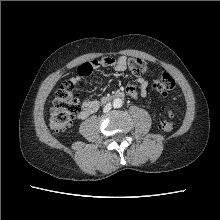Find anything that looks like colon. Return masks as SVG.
I'll list each match as a JSON object with an SVG mask.
<instances>
[{"instance_id":"5ec220e1","label":"colon","mask_w":220,"mask_h":220,"mask_svg":"<svg viewBox=\"0 0 220 220\" xmlns=\"http://www.w3.org/2000/svg\"><path fill=\"white\" fill-rule=\"evenodd\" d=\"M127 64L130 71L136 76L146 74L149 69L148 63L140 58H129ZM90 72V68L86 69L87 74ZM154 86L158 92L167 93L175 88L176 82L171 75L164 73L154 82ZM78 104L79 101L75 93V86L71 81H65L56 91L51 109L50 124L55 132H64L69 128L78 111ZM163 116L160 129L163 132H170L174 127L171 121L173 117L172 110L169 108L164 109Z\"/></svg>"}]
</instances>
